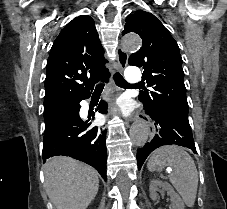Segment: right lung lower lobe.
<instances>
[{
    "label": "right lung lower lobe",
    "mask_w": 227,
    "mask_h": 209,
    "mask_svg": "<svg viewBox=\"0 0 227 209\" xmlns=\"http://www.w3.org/2000/svg\"><path fill=\"white\" fill-rule=\"evenodd\" d=\"M90 95L73 102L74 107L66 115L45 129L42 156L44 162L53 156H70L93 166L106 180V131L97 126L88 128L91 123L79 116V102ZM106 109V102H100L97 111L104 113Z\"/></svg>",
    "instance_id": "obj_1"
}]
</instances>
